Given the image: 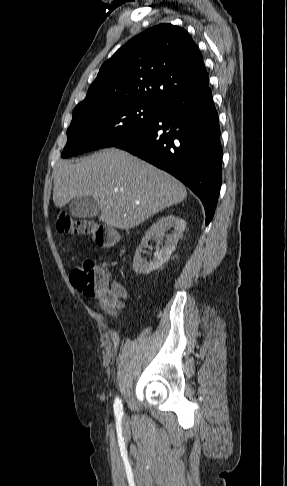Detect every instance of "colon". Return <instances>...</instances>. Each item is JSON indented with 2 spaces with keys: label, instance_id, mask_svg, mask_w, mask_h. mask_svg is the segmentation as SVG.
Segmentation results:
<instances>
[{
  "label": "colon",
  "instance_id": "1",
  "mask_svg": "<svg viewBox=\"0 0 287 486\" xmlns=\"http://www.w3.org/2000/svg\"><path fill=\"white\" fill-rule=\"evenodd\" d=\"M57 229L62 233L89 236L101 247L113 246L118 240L117 233L102 223L89 219H73L64 214L57 220ZM70 278L73 286L88 297L108 304L117 301L107 273L92 260H86L81 266L74 268Z\"/></svg>",
  "mask_w": 287,
  "mask_h": 486
}]
</instances>
